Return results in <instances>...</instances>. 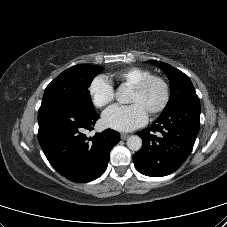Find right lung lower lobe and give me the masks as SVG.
I'll use <instances>...</instances> for the list:
<instances>
[{
	"mask_svg": "<svg viewBox=\"0 0 227 227\" xmlns=\"http://www.w3.org/2000/svg\"><path fill=\"white\" fill-rule=\"evenodd\" d=\"M99 118L96 112L66 102L40 107L38 141L52 167L65 178L85 183L106 170L110 151L120 141V135L107 129L88 137L87 131Z\"/></svg>",
	"mask_w": 227,
	"mask_h": 227,
	"instance_id": "right-lung-lower-lobe-1",
	"label": "right lung lower lobe"
}]
</instances>
